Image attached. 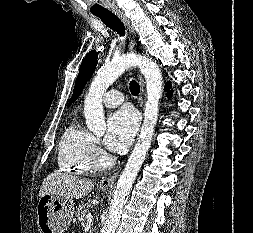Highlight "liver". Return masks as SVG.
I'll list each match as a JSON object with an SVG mask.
<instances>
[{
  "instance_id": "1",
  "label": "liver",
  "mask_w": 253,
  "mask_h": 233,
  "mask_svg": "<svg viewBox=\"0 0 253 233\" xmlns=\"http://www.w3.org/2000/svg\"><path fill=\"white\" fill-rule=\"evenodd\" d=\"M94 188V183L85 178L53 172L42 182L39 197L55 194L69 199L85 197Z\"/></svg>"
}]
</instances>
